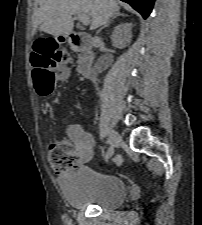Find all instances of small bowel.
Wrapping results in <instances>:
<instances>
[{
	"instance_id": "small-bowel-1",
	"label": "small bowel",
	"mask_w": 202,
	"mask_h": 225,
	"mask_svg": "<svg viewBox=\"0 0 202 225\" xmlns=\"http://www.w3.org/2000/svg\"><path fill=\"white\" fill-rule=\"evenodd\" d=\"M65 71L63 68V72ZM67 135L77 148V157L80 164L89 163L93 157L95 145L91 133L85 130L81 124L73 123L68 125Z\"/></svg>"
}]
</instances>
